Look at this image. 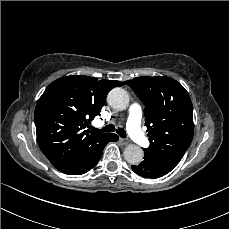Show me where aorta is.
I'll use <instances>...</instances> for the list:
<instances>
[{
    "label": "aorta",
    "instance_id": "762f6f07",
    "mask_svg": "<svg viewBox=\"0 0 229 229\" xmlns=\"http://www.w3.org/2000/svg\"><path fill=\"white\" fill-rule=\"evenodd\" d=\"M108 104L116 110H124L128 107L130 99L126 90L120 87L112 89L107 96ZM124 158L131 165H139L143 161V149L135 144H129L124 149Z\"/></svg>",
    "mask_w": 229,
    "mask_h": 229
}]
</instances>
